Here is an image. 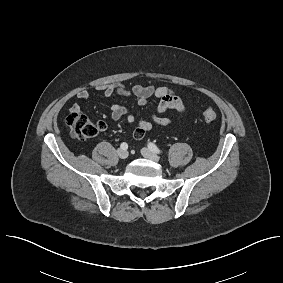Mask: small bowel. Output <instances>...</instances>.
Instances as JSON below:
<instances>
[{"label":"small bowel","mask_w":283,"mask_h":283,"mask_svg":"<svg viewBox=\"0 0 283 283\" xmlns=\"http://www.w3.org/2000/svg\"><path fill=\"white\" fill-rule=\"evenodd\" d=\"M98 90L107 97H134L139 106H146L152 98L158 99V104L151 120H140L133 130V137L135 139H142L155 125L160 127L170 125L171 120L164 116L167 111L175 110L179 113L184 111L182 100L168 87L137 84L132 88H127L123 84L113 83L98 86ZM89 96V92L85 89H81L76 93V97L80 100H88ZM70 110L71 112H80L81 109L78 104H73ZM110 113L113 120H119L126 116L129 123L136 121L135 116L130 113L129 108L119 104H113L110 108Z\"/></svg>","instance_id":"small-bowel-1"}]
</instances>
